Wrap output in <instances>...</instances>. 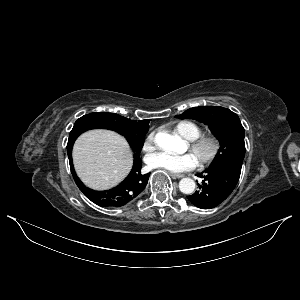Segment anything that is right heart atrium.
Masks as SVG:
<instances>
[{
  "mask_svg": "<svg viewBox=\"0 0 300 300\" xmlns=\"http://www.w3.org/2000/svg\"><path fill=\"white\" fill-rule=\"evenodd\" d=\"M154 138H155V133L154 132H151L145 138L144 143H143V150L145 152H149V151L153 150V148H154Z\"/></svg>",
  "mask_w": 300,
  "mask_h": 300,
  "instance_id": "obj_1",
  "label": "right heart atrium"
}]
</instances>
